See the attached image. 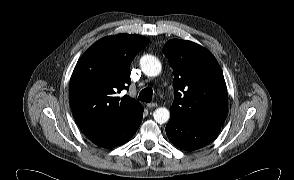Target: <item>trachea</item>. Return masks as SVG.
<instances>
[{
  "label": "trachea",
  "instance_id": "3493384b",
  "mask_svg": "<svg viewBox=\"0 0 294 180\" xmlns=\"http://www.w3.org/2000/svg\"><path fill=\"white\" fill-rule=\"evenodd\" d=\"M153 98V90L150 87H147L145 89H143L140 93H139V97L138 99L144 102H151Z\"/></svg>",
  "mask_w": 294,
  "mask_h": 180
}]
</instances>
